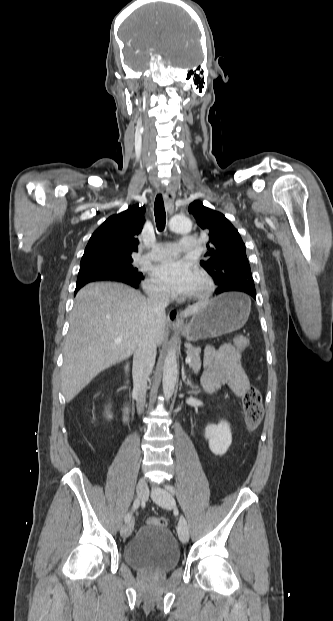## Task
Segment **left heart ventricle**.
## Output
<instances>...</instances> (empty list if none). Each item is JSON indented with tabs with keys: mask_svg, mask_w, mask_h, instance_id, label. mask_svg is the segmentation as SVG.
I'll use <instances>...</instances> for the list:
<instances>
[{
	"mask_svg": "<svg viewBox=\"0 0 333 621\" xmlns=\"http://www.w3.org/2000/svg\"><path fill=\"white\" fill-rule=\"evenodd\" d=\"M202 288V281L201 279L197 276L192 288L190 289V291L188 292V295L190 294H194L196 292H198L200 289Z\"/></svg>",
	"mask_w": 333,
	"mask_h": 621,
	"instance_id": "left-heart-ventricle-1",
	"label": "left heart ventricle"
}]
</instances>
